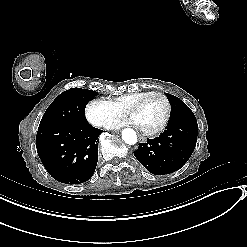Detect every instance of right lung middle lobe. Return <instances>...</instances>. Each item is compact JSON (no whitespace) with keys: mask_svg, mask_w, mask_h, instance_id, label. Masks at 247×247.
<instances>
[{"mask_svg":"<svg viewBox=\"0 0 247 247\" xmlns=\"http://www.w3.org/2000/svg\"><path fill=\"white\" fill-rule=\"evenodd\" d=\"M96 95V91L81 88L64 91L47 108L39 128L55 124L86 123L85 107Z\"/></svg>","mask_w":247,"mask_h":247,"instance_id":"1","label":"right lung middle lobe"}]
</instances>
